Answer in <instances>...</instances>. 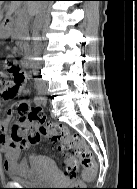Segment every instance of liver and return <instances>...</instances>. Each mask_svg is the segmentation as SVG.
<instances>
[{"label": "liver", "mask_w": 137, "mask_h": 189, "mask_svg": "<svg viewBox=\"0 0 137 189\" xmlns=\"http://www.w3.org/2000/svg\"><path fill=\"white\" fill-rule=\"evenodd\" d=\"M1 1H0V6H1ZM20 3L19 1H11L10 4L7 6V13H6V16H10L14 11L15 9H17V7L20 6ZM43 6V3H39V2H29L28 4V7H29V11L31 13H36L38 10L41 9V7ZM3 18V12L0 11V21L1 19Z\"/></svg>", "instance_id": "obj_1"}]
</instances>
